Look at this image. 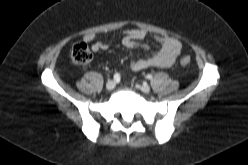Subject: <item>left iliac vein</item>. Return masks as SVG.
Masks as SVG:
<instances>
[{"instance_id":"obj_1","label":"left iliac vein","mask_w":248,"mask_h":165,"mask_svg":"<svg viewBox=\"0 0 248 165\" xmlns=\"http://www.w3.org/2000/svg\"><path fill=\"white\" fill-rule=\"evenodd\" d=\"M136 87L140 88V90L144 93H149L151 91V88L149 85L147 84H143V85H136Z\"/></svg>"}]
</instances>
